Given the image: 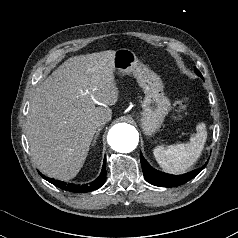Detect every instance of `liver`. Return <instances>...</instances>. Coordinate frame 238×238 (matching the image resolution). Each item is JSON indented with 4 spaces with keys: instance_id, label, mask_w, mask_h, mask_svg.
Returning <instances> with one entry per match:
<instances>
[{
    "instance_id": "liver-1",
    "label": "liver",
    "mask_w": 238,
    "mask_h": 238,
    "mask_svg": "<svg viewBox=\"0 0 238 238\" xmlns=\"http://www.w3.org/2000/svg\"><path fill=\"white\" fill-rule=\"evenodd\" d=\"M115 54L108 50L71 57L36 87L26 136L43 174L63 181L74 178L87 158L97 122L111 120L108 106L119 95Z\"/></svg>"
}]
</instances>
